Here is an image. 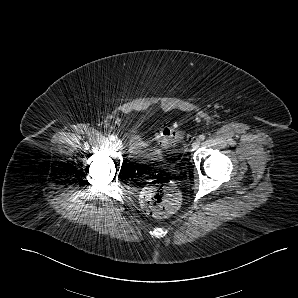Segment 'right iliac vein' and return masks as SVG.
Instances as JSON below:
<instances>
[{
  "label": "right iliac vein",
  "instance_id": "1",
  "mask_svg": "<svg viewBox=\"0 0 298 298\" xmlns=\"http://www.w3.org/2000/svg\"><path fill=\"white\" fill-rule=\"evenodd\" d=\"M115 146L118 148V149H121L123 147V144H122V141L121 140H115Z\"/></svg>",
  "mask_w": 298,
  "mask_h": 298
}]
</instances>
